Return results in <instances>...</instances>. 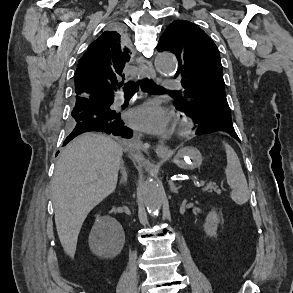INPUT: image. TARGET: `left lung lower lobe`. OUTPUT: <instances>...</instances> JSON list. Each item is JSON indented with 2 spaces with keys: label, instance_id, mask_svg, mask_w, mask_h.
Returning a JSON list of instances; mask_svg holds the SVG:
<instances>
[{
  "label": "left lung lower lobe",
  "instance_id": "obj_1",
  "mask_svg": "<svg viewBox=\"0 0 293 293\" xmlns=\"http://www.w3.org/2000/svg\"><path fill=\"white\" fill-rule=\"evenodd\" d=\"M178 110H180V109H178ZM197 124H198V126L195 128L196 134H205V133H209L212 131H223V132H227L232 137H234L235 139L240 141L232 124H227V123L204 124L199 121H197Z\"/></svg>",
  "mask_w": 293,
  "mask_h": 293
}]
</instances>
